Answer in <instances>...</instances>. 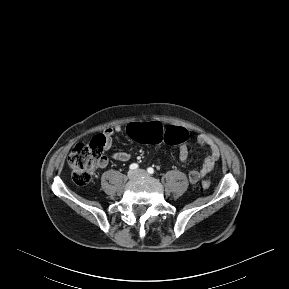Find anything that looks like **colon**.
<instances>
[{
  "label": "colon",
  "mask_w": 289,
  "mask_h": 289,
  "mask_svg": "<svg viewBox=\"0 0 289 289\" xmlns=\"http://www.w3.org/2000/svg\"><path fill=\"white\" fill-rule=\"evenodd\" d=\"M128 138L138 142L158 143L165 141L169 144L181 143L188 138V132L183 128L169 127L162 121L153 122H133L126 128ZM105 148V138L98 135L89 143H79L68 156V164L72 171L73 181L83 186L91 181L93 172L104 160L103 152ZM211 182L204 179L201 187L209 189Z\"/></svg>",
  "instance_id": "1"
}]
</instances>
